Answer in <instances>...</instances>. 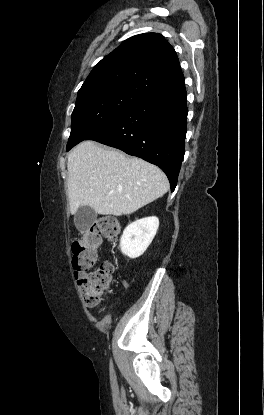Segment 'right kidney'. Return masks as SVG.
I'll return each mask as SVG.
<instances>
[{
  "mask_svg": "<svg viewBox=\"0 0 264 415\" xmlns=\"http://www.w3.org/2000/svg\"><path fill=\"white\" fill-rule=\"evenodd\" d=\"M158 227L159 219L155 216L129 224L120 239L121 252L131 259L141 256L151 244Z\"/></svg>",
  "mask_w": 264,
  "mask_h": 415,
  "instance_id": "obj_1",
  "label": "right kidney"
}]
</instances>
